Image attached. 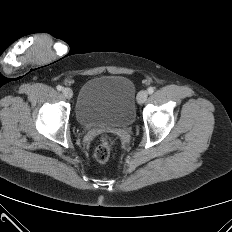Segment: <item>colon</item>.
<instances>
[{"instance_id":"colon-1","label":"colon","mask_w":232,"mask_h":232,"mask_svg":"<svg viewBox=\"0 0 232 232\" xmlns=\"http://www.w3.org/2000/svg\"><path fill=\"white\" fill-rule=\"evenodd\" d=\"M114 139L108 135H103L95 148L94 156L99 162H106L112 155Z\"/></svg>"}]
</instances>
